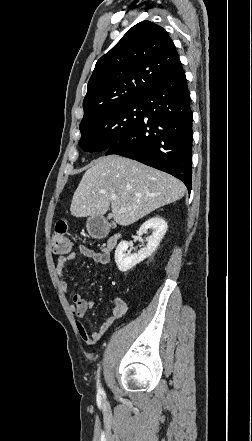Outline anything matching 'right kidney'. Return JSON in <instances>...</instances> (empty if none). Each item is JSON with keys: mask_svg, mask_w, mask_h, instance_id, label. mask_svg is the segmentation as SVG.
Returning a JSON list of instances; mask_svg holds the SVG:
<instances>
[{"mask_svg": "<svg viewBox=\"0 0 252 441\" xmlns=\"http://www.w3.org/2000/svg\"><path fill=\"white\" fill-rule=\"evenodd\" d=\"M167 228L168 226L166 221L159 216L153 217L144 222L137 231V235L140 236L146 233L148 229H152L153 232L146 239V247L142 248L137 254H126L129 243L127 241H121L115 250V262L118 269L121 272H126L135 267L144 259L150 257L159 246L167 231Z\"/></svg>", "mask_w": 252, "mask_h": 441, "instance_id": "ca27d5eb", "label": "right kidney"}]
</instances>
